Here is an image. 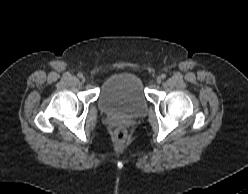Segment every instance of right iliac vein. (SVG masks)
Returning a JSON list of instances; mask_svg holds the SVG:
<instances>
[{
	"instance_id": "obj_1",
	"label": "right iliac vein",
	"mask_w": 248,
	"mask_h": 194,
	"mask_svg": "<svg viewBox=\"0 0 248 194\" xmlns=\"http://www.w3.org/2000/svg\"><path fill=\"white\" fill-rule=\"evenodd\" d=\"M82 81H83V82L85 81V78H84V77H82Z\"/></svg>"
}]
</instances>
